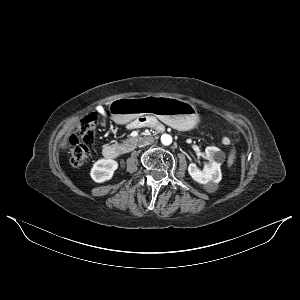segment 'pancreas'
I'll return each mask as SVG.
<instances>
[{"label":"pancreas","mask_w":300,"mask_h":300,"mask_svg":"<svg viewBox=\"0 0 300 300\" xmlns=\"http://www.w3.org/2000/svg\"><path fill=\"white\" fill-rule=\"evenodd\" d=\"M135 140L136 139H134V138H130V139L126 140V141L125 140L122 141V143L120 144V146L122 147L123 151H125V152L129 151L130 150V142H133Z\"/></svg>","instance_id":"cf45deb5"}]
</instances>
